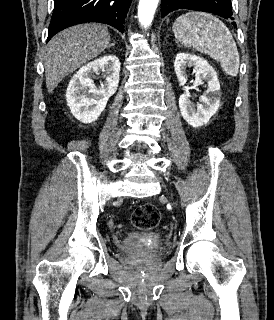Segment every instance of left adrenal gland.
I'll return each instance as SVG.
<instances>
[{
	"instance_id": "1",
	"label": "left adrenal gland",
	"mask_w": 274,
	"mask_h": 320,
	"mask_svg": "<svg viewBox=\"0 0 274 320\" xmlns=\"http://www.w3.org/2000/svg\"><path fill=\"white\" fill-rule=\"evenodd\" d=\"M178 48H181V46H179V44H178Z\"/></svg>"
}]
</instances>
